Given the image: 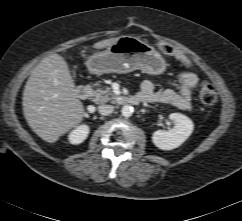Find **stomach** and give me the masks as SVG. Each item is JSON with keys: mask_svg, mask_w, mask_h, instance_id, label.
<instances>
[{"mask_svg": "<svg viewBox=\"0 0 242 221\" xmlns=\"http://www.w3.org/2000/svg\"><path fill=\"white\" fill-rule=\"evenodd\" d=\"M86 65L89 72L97 75L134 70L160 75L167 66L163 56L153 46L132 36L118 37L106 50L91 55Z\"/></svg>", "mask_w": 242, "mask_h": 221, "instance_id": "0dacf381", "label": "stomach"}]
</instances>
